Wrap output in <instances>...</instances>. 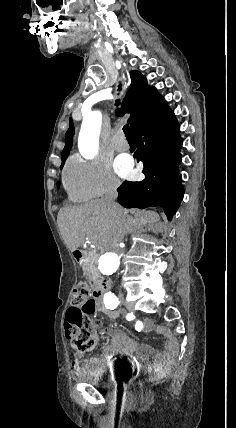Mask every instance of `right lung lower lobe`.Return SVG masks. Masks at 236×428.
I'll return each mask as SVG.
<instances>
[{"label": "right lung lower lobe", "mask_w": 236, "mask_h": 428, "mask_svg": "<svg viewBox=\"0 0 236 428\" xmlns=\"http://www.w3.org/2000/svg\"><path fill=\"white\" fill-rule=\"evenodd\" d=\"M138 149L137 161L143 162L145 179L125 181L118 188V202L126 208L160 206L170 221L184 194L178 164L181 162L179 124L168 107L145 120L133 130Z\"/></svg>", "instance_id": "98d812e1"}]
</instances>
